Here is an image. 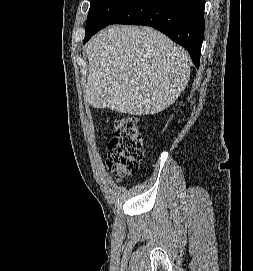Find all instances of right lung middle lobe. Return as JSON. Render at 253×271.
I'll return each mask as SVG.
<instances>
[{"label":"right lung middle lobe","instance_id":"dd1d6c3e","mask_svg":"<svg viewBox=\"0 0 253 271\" xmlns=\"http://www.w3.org/2000/svg\"><path fill=\"white\" fill-rule=\"evenodd\" d=\"M131 1L132 0H91L85 36L94 34L109 25Z\"/></svg>","mask_w":253,"mask_h":271}]
</instances>
